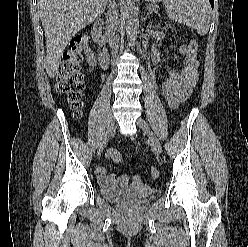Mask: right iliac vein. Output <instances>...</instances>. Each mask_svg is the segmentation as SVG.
<instances>
[{"mask_svg":"<svg viewBox=\"0 0 248 247\" xmlns=\"http://www.w3.org/2000/svg\"><path fill=\"white\" fill-rule=\"evenodd\" d=\"M114 117L112 114H109L108 119H107V124H106V128L102 137V140L98 146V154L100 155L102 153V151L104 150V147L108 141V139L112 136L113 133V128H114Z\"/></svg>","mask_w":248,"mask_h":247,"instance_id":"1","label":"right iliac vein"}]
</instances>
